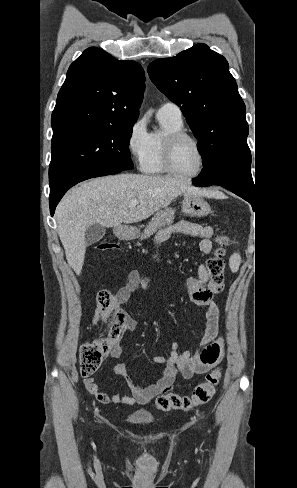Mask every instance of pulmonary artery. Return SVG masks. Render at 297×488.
Masks as SVG:
<instances>
[{"instance_id": "1", "label": "pulmonary artery", "mask_w": 297, "mask_h": 488, "mask_svg": "<svg viewBox=\"0 0 297 488\" xmlns=\"http://www.w3.org/2000/svg\"><path fill=\"white\" fill-rule=\"evenodd\" d=\"M158 117L183 122L181 109L173 102H165L158 110Z\"/></svg>"}]
</instances>
